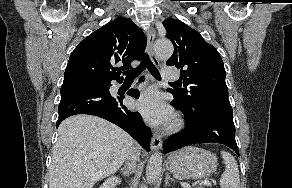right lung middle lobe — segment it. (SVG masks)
Wrapping results in <instances>:
<instances>
[{
  "instance_id": "1",
  "label": "right lung middle lobe",
  "mask_w": 292,
  "mask_h": 188,
  "mask_svg": "<svg viewBox=\"0 0 292 188\" xmlns=\"http://www.w3.org/2000/svg\"><path fill=\"white\" fill-rule=\"evenodd\" d=\"M71 81H79V82H84V83H88L91 85H97V86L107 85L106 80H102V79H77V80H71ZM64 82H68V81H64Z\"/></svg>"
}]
</instances>
